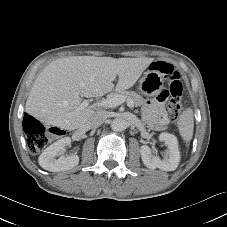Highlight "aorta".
I'll return each mask as SVG.
<instances>
[{
  "mask_svg": "<svg viewBox=\"0 0 227 227\" xmlns=\"http://www.w3.org/2000/svg\"><path fill=\"white\" fill-rule=\"evenodd\" d=\"M110 125L113 131L121 132L127 128V121L124 118H115Z\"/></svg>",
  "mask_w": 227,
  "mask_h": 227,
  "instance_id": "obj_1",
  "label": "aorta"
}]
</instances>
